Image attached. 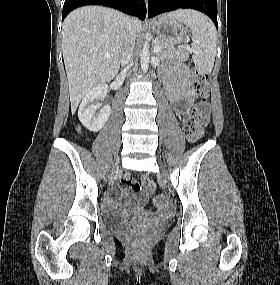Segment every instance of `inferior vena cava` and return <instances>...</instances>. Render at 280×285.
<instances>
[{
  "label": "inferior vena cava",
  "mask_w": 280,
  "mask_h": 285,
  "mask_svg": "<svg viewBox=\"0 0 280 285\" xmlns=\"http://www.w3.org/2000/svg\"><path fill=\"white\" fill-rule=\"evenodd\" d=\"M136 33L133 28L132 20L127 17L123 32V47L120 52V64L122 67H128L133 59Z\"/></svg>",
  "instance_id": "inferior-vena-cava-1"
}]
</instances>
